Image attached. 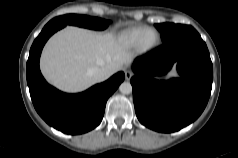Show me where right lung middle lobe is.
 Returning a JSON list of instances; mask_svg holds the SVG:
<instances>
[{"label":"right lung middle lobe","instance_id":"right-lung-middle-lobe-1","mask_svg":"<svg viewBox=\"0 0 238 158\" xmlns=\"http://www.w3.org/2000/svg\"><path fill=\"white\" fill-rule=\"evenodd\" d=\"M63 24L76 25L95 30H103L107 28L109 22L96 17H90L86 15L67 14L52 19L47 25Z\"/></svg>","mask_w":238,"mask_h":158}]
</instances>
